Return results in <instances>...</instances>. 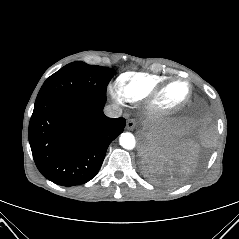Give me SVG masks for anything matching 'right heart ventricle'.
<instances>
[{
	"label": "right heart ventricle",
	"mask_w": 239,
	"mask_h": 239,
	"mask_svg": "<svg viewBox=\"0 0 239 239\" xmlns=\"http://www.w3.org/2000/svg\"><path fill=\"white\" fill-rule=\"evenodd\" d=\"M167 80L159 76L144 72H125L116 81V87L124 99L128 101H139L146 98L156 87Z\"/></svg>",
	"instance_id": "right-heart-ventricle-1"
}]
</instances>
